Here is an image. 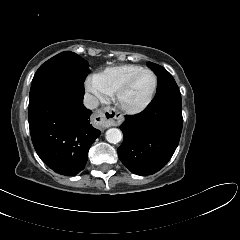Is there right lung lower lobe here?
Returning <instances> with one entry per match:
<instances>
[{
	"label": "right lung lower lobe",
	"mask_w": 240,
	"mask_h": 240,
	"mask_svg": "<svg viewBox=\"0 0 240 240\" xmlns=\"http://www.w3.org/2000/svg\"><path fill=\"white\" fill-rule=\"evenodd\" d=\"M84 92L56 90L29 105L31 139L41 160L52 170L74 176L84 169L91 144L100 131L90 124Z\"/></svg>",
	"instance_id": "98d812e1"
}]
</instances>
